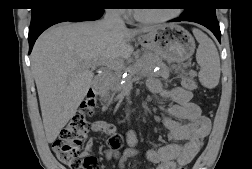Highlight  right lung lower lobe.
I'll list each match as a JSON object with an SVG mask.
<instances>
[{
    "label": "right lung lower lobe",
    "instance_id": "obj_1",
    "mask_svg": "<svg viewBox=\"0 0 252 169\" xmlns=\"http://www.w3.org/2000/svg\"><path fill=\"white\" fill-rule=\"evenodd\" d=\"M31 9L29 27V53L38 36L50 26L65 22L93 21L104 13V7L83 2V0H44Z\"/></svg>",
    "mask_w": 252,
    "mask_h": 169
}]
</instances>
